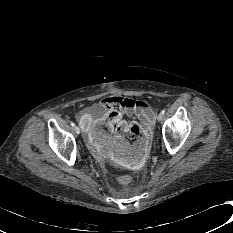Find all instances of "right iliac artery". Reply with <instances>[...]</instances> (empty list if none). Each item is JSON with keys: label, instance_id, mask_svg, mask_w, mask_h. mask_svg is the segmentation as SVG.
<instances>
[{"label": "right iliac artery", "instance_id": "82829eb1", "mask_svg": "<svg viewBox=\"0 0 233 233\" xmlns=\"http://www.w3.org/2000/svg\"><path fill=\"white\" fill-rule=\"evenodd\" d=\"M71 126H72V127H75V124L72 122V123H71Z\"/></svg>", "mask_w": 233, "mask_h": 233}]
</instances>
